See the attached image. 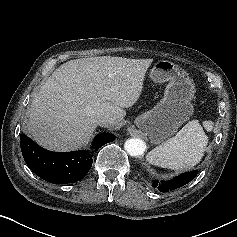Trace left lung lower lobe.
I'll list each match as a JSON object with an SVG mask.
<instances>
[{"mask_svg": "<svg viewBox=\"0 0 237 237\" xmlns=\"http://www.w3.org/2000/svg\"><path fill=\"white\" fill-rule=\"evenodd\" d=\"M197 175V171H190L187 173L180 174L179 176L169 180V181H162L158 183V181H153V187H157L161 192H168L174 189H178L183 185H186L190 181H192Z\"/></svg>", "mask_w": 237, "mask_h": 237, "instance_id": "1", "label": "left lung lower lobe"}]
</instances>
